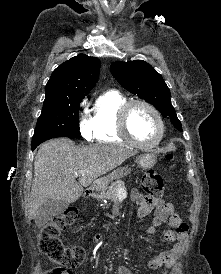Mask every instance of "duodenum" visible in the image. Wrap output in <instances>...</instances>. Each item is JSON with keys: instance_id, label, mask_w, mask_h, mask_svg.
Listing matches in <instances>:
<instances>
[{"instance_id": "obj_1", "label": "duodenum", "mask_w": 221, "mask_h": 274, "mask_svg": "<svg viewBox=\"0 0 221 274\" xmlns=\"http://www.w3.org/2000/svg\"><path fill=\"white\" fill-rule=\"evenodd\" d=\"M99 194V190L95 187H92V188H89L85 191V194L84 196L86 198H92V197H95Z\"/></svg>"}]
</instances>
